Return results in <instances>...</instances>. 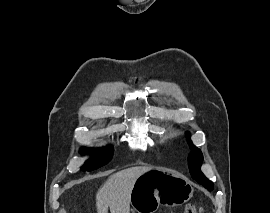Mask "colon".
<instances>
[{
    "instance_id": "5ec220e1",
    "label": "colon",
    "mask_w": 270,
    "mask_h": 213,
    "mask_svg": "<svg viewBox=\"0 0 270 213\" xmlns=\"http://www.w3.org/2000/svg\"><path fill=\"white\" fill-rule=\"evenodd\" d=\"M184 213H202V210L196 205L189 204L186 206Z\"/></svg>"
}]
</instances>
